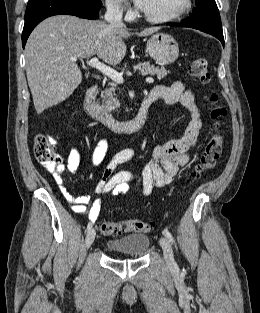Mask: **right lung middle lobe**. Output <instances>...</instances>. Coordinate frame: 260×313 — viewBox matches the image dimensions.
Instances as JSON below:
<instances>
[{
	"mask_svg": "<svg viewBox=\"0 0 260 313\" xmlns=\"http://www.w3.org/2000/svg\"><path fill=\"white\" fill-rule=\"evenodd\" d=\"M90 1H93V2H101V0H90Z\"/></svg>",
	"mask_w": 260,
	"mask_h": 313,
	"instance_id": "1",
	"label": "right lung middle lobe"
}]
</instances>
